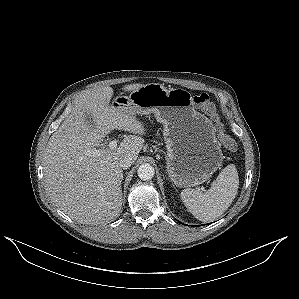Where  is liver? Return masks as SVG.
Listing matches in <instances>:
<instances>
[{
  "mask_svg": "<svg viewBox=\"0 0 299 299\" xmlns=\"http://www.w3.org/2000/svg\"><path fill=\"white\" fill-rule=\"evenodd\" d=\"M142 84H130L124 91H134ZM110 86L84 91L76 96L71 113L52 134L43 155L46 190L56 206L69 217L87 225L113 221L122 208L123 171L118 161L126 154L136 160L144 145L145 128L135 113L110 104ZM96 123L87 126L84 114ZM114 129L125 130L118 148L98 149L103 138Z\"/></svg>",
  "mask_w": 299,
  "mask_h": 299,
  "instance_id": "liver-1",
  "label": "liver"
}]
</instances>
